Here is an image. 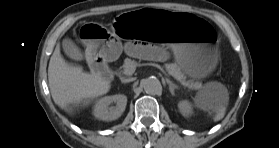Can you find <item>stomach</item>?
Here are the masks:
<instances>
[{"label": "stomach", "instance_id": "1", "mask_svg": "<svg viewBox=\"0 0 279 148\" xmlns=\"http://www.w3.org/2000/svg\"><path fill=\"white\" fill-rule=\"evenodd\" d=\"M113 23H82L75 33L77 47L111 60L121 53L120 37L129 43L149 42L173 49L180 69L193 79H201L216 66L217 51L224 42L223 28L207 15L144 8L120 14Z\"/></svg>", "mask_w": 279, "mask_h": 148}]
</instances>
